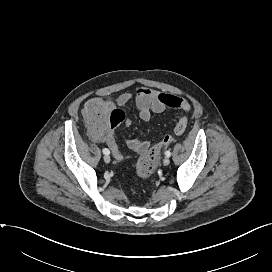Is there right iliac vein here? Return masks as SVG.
Here are the masks:
<instances>
[{"label":"right iliac vein","instance_id":"obj_1","mask_svg":"<svg viewBox=\"0 0 272 272\" xmlns=\"http://www.w3.org/2000/svg\"><path fill=\"white\" fill-rule=\"evenodd\" d=\"M103 159H104L105 163H109V162L111 161V158H110L109 155H105V156L103 157Z\"/></svg>","mask_w":272,"mask_h":272}]
</instances>
